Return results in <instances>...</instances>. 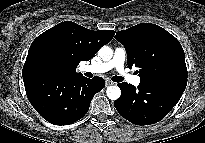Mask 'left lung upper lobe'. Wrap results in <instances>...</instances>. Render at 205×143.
<instances>
[{
    "label": "left lung upper lobe",
    "instance_id": "1",
    "mask_svg": "<svg viewBox=\"0 0 205 143\" xmlns=\"http://www.w3.org/2000/svg\"><path fill=\"white\" fill-rule=\"evenodd\" d=\"M115 38L126 49L128 67L139 68L140 81L187 76L185 54L180 42L162 27L141 23L118 31Z\"/></svg>",
    "mask_w": 205,
    "mask_h": 143
}]
</instances>
